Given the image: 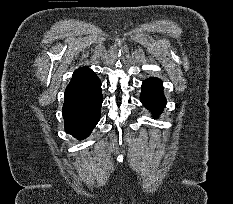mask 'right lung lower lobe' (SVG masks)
Listing matches in <instances>:
<instances>
[{
  "mask_svg": "<svg viewBox=\"0 0 233 204\" xmlns=\"http://www.w3.org/2000/svg\"><path fill=\"white\" fill-rule=\"evenodd\" d=\"M64 100L62 113L66 132L84 139L100 119L103 95L99 78L90 69L74 75Z\"/></svg>",
  "mask_w": 233,
  "mask_h": 204,
  "instance_id": "1",
  "label": "right lung lower lobe"
}]
</instances>
